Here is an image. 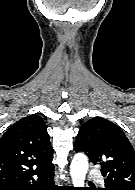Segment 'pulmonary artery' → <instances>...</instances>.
Instances as JSON below:
<instances>
[{"label": "pulmonary artery", "instance_id": "pulmonary-artery-1", "mask_svg": "<svg viewBox=\"0 0 135 190\" xmlns=\"http://www.w3.org/2000/svg\"><path fill=\"white\" fill-rule=\"evenodd\" d=\"M89 175H90L91 177H93V178H96V179L99 180V181H102L101 175H100V173H99L98 170L91 169V170L89 171Z\"/></svg>", "mask_w": 135, "mask_h": 190}]
</instances>
